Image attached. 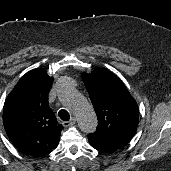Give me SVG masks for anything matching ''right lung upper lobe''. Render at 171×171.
Returning <instances> with one entry per match:
<instances>
[{
    "mask_svg": "<svg viewBox=\"0 0 171 171\" xmlns=\"http://www.w3.org/2000/svg\"><path fill=\"white\" fill-rule=\"evenodd\" d=\"M52 83L45 70H31L18 81L5 101V131L13 145L26 155L42 157L58 146L63 126L58 124L48 105Z\"/></svg>",
    "mask_w": 171,
    "mask_h": 171,
    "instance_id": "obj_1",
    "label": "right lung upper lobe"
}]
</instances>
